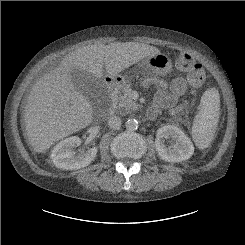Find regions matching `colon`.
I'll return each mask as SVG.
<instances>
[{
  "label": "colon",
  "instance_id": "1",
  "mask_svg": "<svg viewBox=\"0 0 245 245\" xmlns=\"http://www.w3.org/2000/svg\"><path fill=\"white\" fill-rule=\"evenodd\" d=\"M175 65L179 70L187 72V82L192 95L197 94V89L206 79L205 71L201 64L194 61L193 57L187 52H176Z\"/></svg>",
  "mask_w": 245,
  "mask_h": 245
}]
</instances>
